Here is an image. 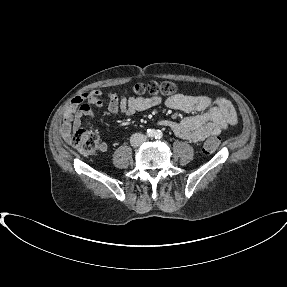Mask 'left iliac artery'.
<instances>
[{
  "label": "left iliac artery",
  "instance_id": "44dca946",
  "mask_svg": "<svg viewBox=\"0 0 287 287\" xmlns=\"http://www.w3.org/2000/svg\"><path fill=\"white\" fill-rule=\"evenodd\" d=\"M162 137H163V133H162L160 130H158V131L156 132L155 138H156V139H161Z\"/></svg>",
  "mask_w": 287,
  "mask_h": 287
}]
</instances>
